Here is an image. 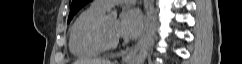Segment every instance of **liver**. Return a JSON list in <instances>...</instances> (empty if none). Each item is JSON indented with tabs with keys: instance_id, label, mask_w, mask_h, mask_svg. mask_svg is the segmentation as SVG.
<instances>
[{
	"instance_id": "obj_1",
	"label": "liver",
	"mask_w": 242,
	"mask_h": 64,
	"mask_svg": "<svg viewBox=\"0 0 242 64\" xmlns=\"http://www.w3.org/2000/svg\"><path fill=\"white\" fill-rule=\"evenodd\" d=\"M74 64H113L107 59H86L76 61Z\"/></svg>"
}]
</instances>
